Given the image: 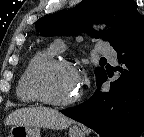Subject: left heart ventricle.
<instances>
[{
    "label": "left heart ventricle",
    "instance_id": "b2bd125f",
    "mask_svg": "<svg viewBox=\"0 0 144 137\" xmlns=\"http://www.w3.org/2000/svg\"><path fill=\"white\" fill-rule=\"evenodd\" d=\"M41 87L51 99L69 100L79 91L78 75L67 68H55L43 74Z\"/></svg>",
    "mask_w": 144,
    "mask_h": 137
}]
</instances>
